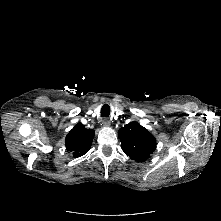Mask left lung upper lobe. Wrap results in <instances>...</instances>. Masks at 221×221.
Here are the masks:
<instances>
[{"label":"left lung upper lobe","mask_w":221,"mask_h":221,"mask_svg":"<svg viewBox=\"0 0 221 221\" xmlns=\"http://www.w3.org/2000/svg\"><path fill=\"white\" fill-rule=\"evenodd\" d=\"M118 133L124 153L138 162L147 160L156 148L155 137L137 122L125 125Z\"/></svg>","instance_id":"obj_1"}]
</instances>
